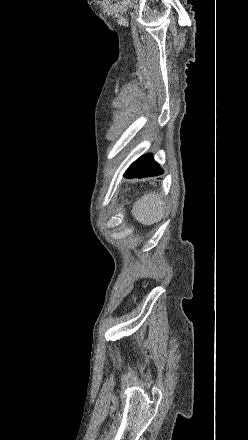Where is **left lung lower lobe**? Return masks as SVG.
<instances>
[{"mask_svg":"<svg viewBox=\"0 0 248 440\" xmlns=\"http://www.w3.org/2000/svg\"><path fill=\"white\" fill-rule=\"evenodd\" d=\"M163 171L159 167L158 163L153 160L151 154H146L135 161L125 172L124 177L131 178H142L149 176H158L162 174Z\"/></svg>","mask_w":248,"mask_h":440,"instance_id":"obj_1","label":"left lung lower lobe"}]
</instances>
